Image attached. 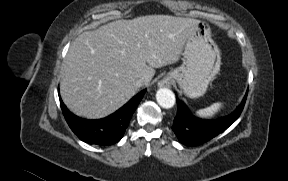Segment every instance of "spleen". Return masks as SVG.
Segmentation results:
<instances>
[{"label":"spleen","instance_id":"spleen-1","mask_svg":"<svg viewBox=\"0 0 288 181\" xmlns=\"http://www.w3.org/2000/svg\"><path fill=\"white\" fill-rule=\"evenodd\" d=\"M222 105L221 102H217L207 108L198 110L196 113L200 117H211L221 109Z\"/></svg>","mask_w":288,"mask_h":181}]
</instances>
